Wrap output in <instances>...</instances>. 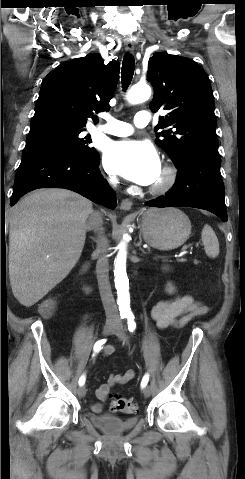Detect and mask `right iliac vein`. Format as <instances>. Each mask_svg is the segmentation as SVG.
Instances as JSON below:
<instances>
[{"label": "right iliac vein", "instance_id": "obj_1", "mask_svg": "<svg viewBox=\"0 0 245 479\" xmlns=\"http://www.w3.org/2000/svg\"><path fill=\"white\" fill-rule=\"evenodd\" d=\"M117 327V324L115 322H106V324L104 325L103 327V335L104 336H107L109 335L111 332H113ZM77 393L79 395V397H84L86 395V389L85 387L81 386L77 389Z\"/></svg>", "mask_w": 245, "mask_h": 479}]
</instances>
